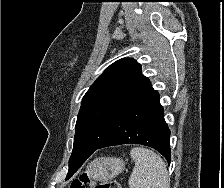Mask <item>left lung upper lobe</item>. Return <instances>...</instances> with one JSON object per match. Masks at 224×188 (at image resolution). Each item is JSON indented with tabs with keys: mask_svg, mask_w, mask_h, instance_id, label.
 <instances>
[{
	"mask_svg": "<svg viewBox=\"0 0 224 188\" xmlns=\"http://www.w3.org/2000/svg\"><path fill=\"white\" fill-rule=\"evenodd\" d=\"M151 88L134 59L122 58L107 67L82 99L69 166L86 160L125 111Z\"/></svg>",
	"mask_w": 224,
	"mask_h": 188,
	"instance_id": "left-lung-upper-lobe-1",
	"label": "left lung upper lobe"
}]
</instances>
